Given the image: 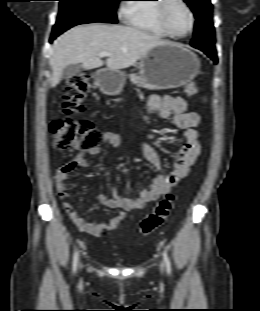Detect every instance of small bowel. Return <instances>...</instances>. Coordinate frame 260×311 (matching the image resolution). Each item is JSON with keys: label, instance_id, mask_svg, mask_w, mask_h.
<instances>
[{"label": "small bowel", "instance_id": "1", "mask_svg": "<svg viewBox=\"0 0 260 311\" xmlns=\"http://www.w3.org/2000/svg\"><path fill=\"white\" fill-rule=\"evenodd\" d=\"M148 114L157 121H163L171 118L172 123L177 128L184 130V144L180 149L173 170L168 174L156 175L149 188L139 193L134 199L122 196L116 188H112V197L95 195L93 198L109 208H119L120 211L106 223H91L80 216L69 201L70 195L66 189V181L69 175L77 168H87L89 163L84 158V153H80L67 163L57 168L54 175L55 188L59 198L63 201L62 206L68 214L70 220L81 231L90 234H97L100 229L107 231L115 230L127 217L131 210L143 208L147 203L157 200L161 195L168 193L182 178L187 176L190 167L201 153L199 135L197 126L200 117L196 112L188 110L185 99L181 97L159 96L153 94L147 102ZM102 142L112 147H118L125 144V141L116 133L105 131L102 133ZM140 153L154 167L161 170L162 164L155 151L142 139L139 141ZM90 155H99L100 147H95L86 152Z\"/></svg>", "mask_w": 260, "mask_h": 311}]
</instances>
